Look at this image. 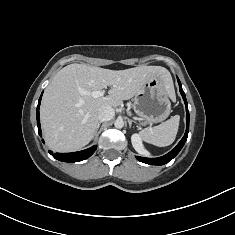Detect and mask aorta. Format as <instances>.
<instances>
[{"label":"aorta","mask_w":235,"mask_h":235,"mask_svg":"<svg viewBox=\"0 0 235 235\" xmlns=\"http://www.w3.org/2000/svg\"><path fill=\"white\" fill-rule=\"evenodd\" d=\"M114 126L118 129H121L124 126V122L122 119H117L114 123Z\"/></svg>","instance_id":"obj_1"}]
</instances>
